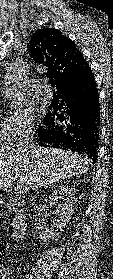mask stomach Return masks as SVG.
Returning <instances> with one entry per match:
<instances>
[{
	"mask_svg": "<svg viewBox=\"0 0 113 279\" xmlns=\"http://www.w3.org/2000/svg\"><path fill=\"white\" fill-rule=\"evenodd\" d=\"M1 204H2V200H1V198H0V206H1Z\"/></svg>",
	"mask_w": 113,
	"mask_h": 279,
	"instance_id": "1",
	"label": "stomach"
}]
</instances>
